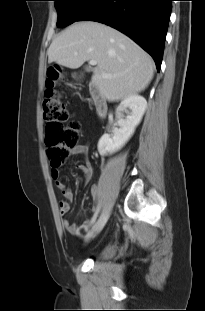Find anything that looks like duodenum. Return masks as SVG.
I'll use <instances>...</instances> for the list:
<instances>
[{"label":"duodenum","instance_id":"410a0bca","mask_svg":"<svg viewBox=\"0 0 205 311\" xmlns=\"http://www.w3.org/2000/svg\"><path fill=\"white\" fill-rule=\"evenodd\" d=\"M90 96L93 101L95 112L98 118H103L107 115L109 110V105L105 97L103 96L100 88L92 84L90 86Z\"/></svg>","mask_w":205,"mask_h":311}]
</instances>
